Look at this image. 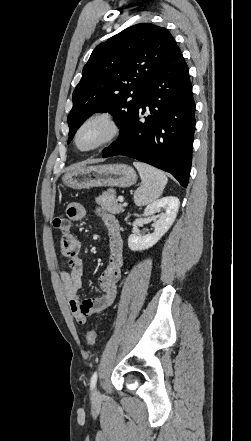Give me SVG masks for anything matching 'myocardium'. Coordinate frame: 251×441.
Returning a JSON list of instances; mask_svg holds the SVG:
<instances>
[{
  "label": "myocardium",
  "instance_id": "1",
  "mask_svg": "<svg viewBox=\"0 0 251 441\" xmlns=\"http://www.w3.org/2000/svg\"><path fill=\"white\" fill-rule=\"evenodd\" d=\"M101 122L107 127L105 136L95 145L89 148H82L79 145V136L82 130L88 125ZM121 134V126L117 117L109 111H96L89 114L78 126L74 135V144L81 152H93L114 142Z\"/></svg>",
  "mask_w": 251,
  "mask_h": 441
}]
</instances>
